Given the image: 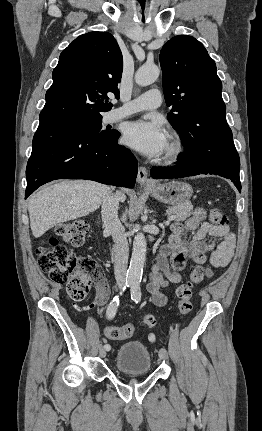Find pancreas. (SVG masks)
Instances as JSON below:
<instances>
[{
	"label": "pancreas",
	"instance_id": "pancreas-1",
	"mask_svg": "<svg viewBox=\"0 0 262 431\" xmlns=\"http://www.w3.org/2000/svg\"><path fill=\"white\" fill-rule=\"evenodd\" d=\"M191 209H192L191 206H187V205L173 206L168 208L167 214L168 215L174 214L176 215V219H175L176 221H183L188 216H190Z\"/></svg>",
	"mask_w": 262,
	"mask_h": 431
}]
</instances>
